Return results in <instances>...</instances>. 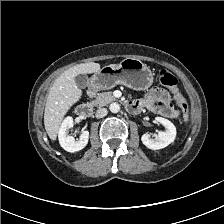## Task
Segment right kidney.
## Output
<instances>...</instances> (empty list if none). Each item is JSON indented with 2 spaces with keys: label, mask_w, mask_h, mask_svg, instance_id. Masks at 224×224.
<instances>
[{
  "label": "right kidney",
  "mask_w": 224,
  "mask_h": 224,
  "mask_svg": "<svg viewBox=\"0 0 224 224\" xmlns=\"http://www.w3.org/2000/svg\"><path fill=\"white\" fill-rule=\"evenodd\" d=\"M74 126L72 117H66L59 129L58 138L61 147L67 152H77L82 150L88 143L89 132L83 131L80 135V139L75 141L73 136L68 135V130Z\"/></svg>",
  "instance_id": "right-kidney-1"
}]
</instances>
